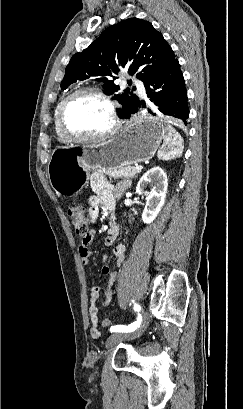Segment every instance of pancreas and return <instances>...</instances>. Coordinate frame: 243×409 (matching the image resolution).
Masks as SVG:
<instances>
[{
    "label": "pancreas",
    "instance_id": "1",
    "mask_svg": "<svg viewBox=\"0 0 243 409\" xmlns=\"http://www.w3.org/2000/svg\"><path fill=\"white\" fill-rule=\"evenodd\" d=\"M102 172L114 178H133L140 173V170H136L131 166H126L119 169L103 170Z\"/></svg>",
    "mask_w": 243,
    "mask_h": 409
}]
</instances>
